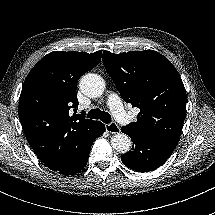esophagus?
I'll use <instances>...</instances> for the list:
<instances>
[{"mask_svg": "<svg viewBox=\"0 0 215 215\" xmlns=\"http://www.w3.org/2000/svg\"><path fill=\"white\" fill-rule=\"evenodd\" d=\"M105 129L108 133H111V134H118L121 132V129L120 127L118 126V124L114 121L108 123V124H105Z\"/></svg>", "mask_w": 215, "mask_h": 215, "instance_id": "34e87169", "label": "esophagus"}]
</instances>
